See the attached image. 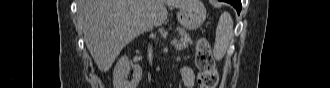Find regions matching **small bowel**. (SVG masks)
Instances as JSON below:
<instances>
[{"mask_svg": "<svg viewBox=\"0 0 330 88\" xmlns=\"http://www.w3.org/2000/svg\"><path fill=\"white\" fill-rule=\"evenodd\" d=\"M180 77L186 87H191L194 83V73L188 67H182L180 69Z\"/></svg>", "mask_w": 330, "mask_h": 88, "instance_id": "obj_1", "label": "small bowel"}]
</instances>
